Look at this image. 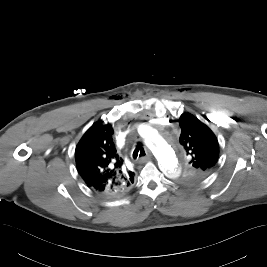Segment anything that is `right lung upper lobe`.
<instances>
[{
    "label": "right lung upper lobe",
    "instance_id": "cb5924a9",
    "mask_svg": "<svg viewBox=\"0 0 267 267\" xmlns=\"http://www.w3.org/2000/svg\"><path fill=\"white\" fill-rule=\"evenodd\" d=\"M112 135L111 125L98 121L86 131L75 150L80 176L91 190L105 196L122 195L134 183V172L124 167Z\"/></svg>",
    "mask_w": 267,
    "mask_h": 267
}]
</instances>
